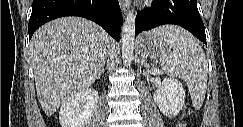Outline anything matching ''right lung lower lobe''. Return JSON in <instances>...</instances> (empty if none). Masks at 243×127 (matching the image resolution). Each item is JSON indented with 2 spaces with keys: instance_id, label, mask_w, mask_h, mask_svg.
I'll return each mask as SVG.
<instances>
[{
  "instance_id": "right-lung-lower-lobe-1",
  "label": "right lung lower lobe",
  "mask_w": 243,
  "mask_h": 127,
  "mask_svg": "<svg viewBox=\"0 0 243 127\" xmlns=\"http://www.w3.org/2000/svg\"><path fill=\"white\" fill-rule=\"evenodd\" d=\"M64 16H79L99 24L117 41L123 21L118 0H33L29 40L43 24Z\"/></svg>"
}]
</instances>
